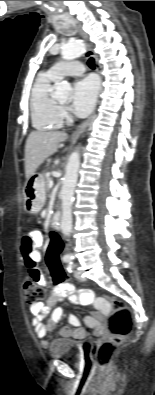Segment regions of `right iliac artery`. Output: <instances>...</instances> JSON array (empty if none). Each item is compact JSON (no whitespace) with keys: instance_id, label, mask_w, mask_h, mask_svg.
Segmentation results:
<instances>
[{"instance_id":"obj_1","label":"right iliac artery","mask_w":155,"mask_h":395,"mask_svg":"<svg viewBox=\"0 0 155 395\" xmlns=\"http://www.w3.org/2000/svg\"><path fill=\"white\" fill-rule=\"evenodd\" d=\"M71 259H72V257L69 256V255H66V256H64V258H63L64 262H69Z\"/></svg>"}]
</instances>
